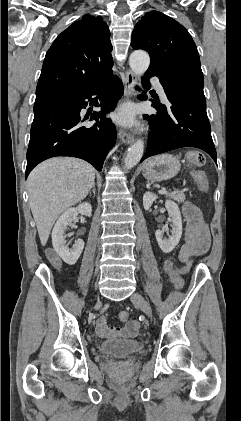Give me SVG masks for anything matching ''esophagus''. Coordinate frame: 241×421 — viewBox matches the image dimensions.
I'll return each instance as SVG.
<instances>
[{
	"label": "esophagus",
	"mask_w": 241,
	"mask_h": 421,
	"mask_svg": "<svg viewBox=\"0 0 241 421\" xmlns=\"http://www.w3.org/2000/svg\"><path fill=\"white\" fill-rule=\"evenodd\" d=\"M136 82H137V78L135 74L131 70H127L126 75H125V98L126 99H130L131 97L134 96L135 94L134 86ZM118 136L120 140H122L125 144H130L134 140V136L131 133L125 131L124 129H121L119 131Z\"/></svg>",
	"instance_id": "obj_1"
}]
</instances>
